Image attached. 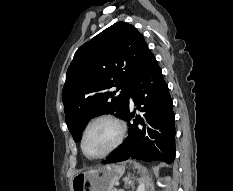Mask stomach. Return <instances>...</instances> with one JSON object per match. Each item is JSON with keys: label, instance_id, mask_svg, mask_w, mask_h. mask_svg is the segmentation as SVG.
Segmentation results:
<instances>
[{"label": "stomach", "instance_id": "0dacf381", "mask_svg": "<svg viewBox=\"0 0 233 191\" xmlns=\"http://www.w3.org/2000/svg\"><path fill=\"white\" fill-rule=\"evenodd\" d=\"M124 167L108 164L80 172L73 177L72 191H112Z\"/></svg>", "mask_w": 233, "mask_h": 191}]
</instances>
